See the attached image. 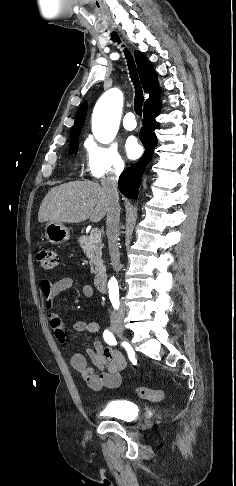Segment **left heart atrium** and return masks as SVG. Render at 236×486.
Instances as JSON below:
<instances>
[{"label":"left heart atrium","mask_w":236,"mask_h":486,"mask_svg":"<svg viewBox=\"0 0 236 486\" xmlns=\"http://www.w3.org/2000/svg\"><path fill=\"white\" fill-rule=\"evenodd\" d=\"M125 150L130 158L135 159L141 153V146L135 138H129L125 143Z\"/></svg>","instance_id":"39dd6f15"}]
</instances>
